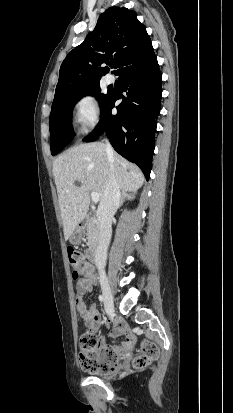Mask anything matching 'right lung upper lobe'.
<instances>
[{
  "instance_id": "1",
  "label": "right lung upper lobe",
  "mask_w": 233,
  "mask_h": 413,
  "mask_svg": "<svg viewBox=\"0 0 233 413\" xmlns=\"http://www.w3.org/2000/svg\"><path fill=\"white\" fill-rule=\"evenodd\" d=\"M149 43L150 37L136 12L125 7L107 9L84 42L61 64L53 103L98 84L106 73L101 64H113L115 73Z\"/></svg>"
}]
</instances>
